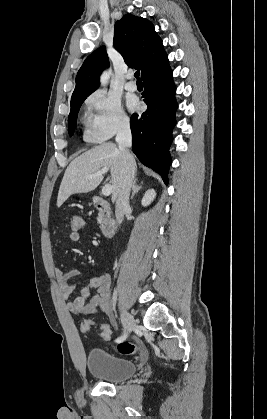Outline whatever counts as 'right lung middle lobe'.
Listing matches in <instances>:
<instances>
[{"label": "right lung middle lobe", "instance_id": "dd1d6c3e", "mask_svg": "<svg viewBox=\"0 0 267 419\" xmlns=\"http://www.w3.org/2000/svg\"><path fill=\"white\" fill-rule=\"evenodd\" d=\"M87 97L88 96L71 99V110H70V114H69V128H68L70 136H72L74 134L79 109H80L82 103L84 102V100Z\"/></svg>", "mask_w": 267, "mask_h": 419}]
</instances>
